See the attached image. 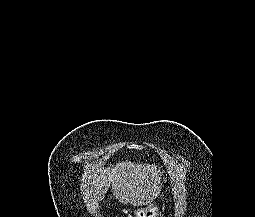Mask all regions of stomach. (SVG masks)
Returning <instances> with one entry per match:
<instances>
[{
	"instance_id": "stomach-1",
	"label": "stomach",
	"mask_w": 255,
	"mask_h": 217,
	"mask_svg": "<svg viewBox=\"0 0 255 217\" xmlns=\"http://www.w3.org/2000/svg\"><path fill=\"white\" fill-rule=\"evenodd\" d=\"M159 214V208L155 204L134 211L135 217H158Z\"/></svg>"
}]
</instances>
